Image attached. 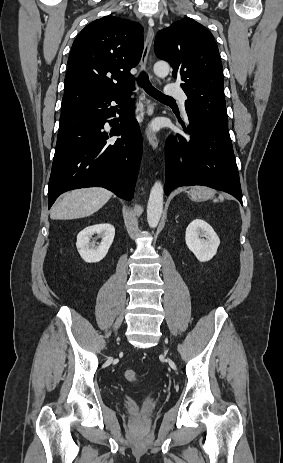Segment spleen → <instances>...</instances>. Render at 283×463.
<instances>
[{
    "instance_id": "1",
    "label": "spleen",
    "mask_w": 283,
    "mask_h": 463,
    "mask_svg": "<svg viewBox=\"0 0 283 463\" xmlns=\"http://www.w3.org/2000/svg\"><path fill=\"white\" fill-rule=\"evenodd\" d=\"M205 188H206V189H209V188H207V187H205ZM213 196H214V191L211 190V189H209V197H208L207 199L212 198ZM219 199H223V196L220 195V196H219Z\"/></svg>"
}]
</instances>
